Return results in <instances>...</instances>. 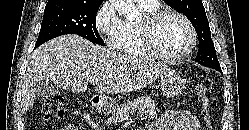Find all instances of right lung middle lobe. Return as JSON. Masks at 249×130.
<instances>
[{
  "instance_id": "1",
  "label": "right lung middle lobe",
  "mask_w": 249,
  "mask_h": 130,
  "mask_svg": "<svg viewBox=\"0 0 249 130\" xmlns=\"http://www.w3.org/2000/svg\"><path fill=\"white\" fill-rule=\"evenodd\" d=\"M101 3L83 4L60 1L46 5L35 47L65 34H76L104 46L96 29V14Z\"/></svg>"
}]
</instances>
